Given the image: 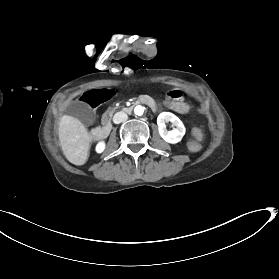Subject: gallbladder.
<instances>
[{"instance_id": "bac80fb5", "label": "gallbladder", "mask_w": 279, "mask_h": 279, "mask_svg": "<svg viewBox=\"0 0 279 279\" xmlns=\"http://www.w3.org/2000/svg\"><path fill=\"white\" fill-rule=\"evenodd\" d=\"M61 114L63 116H70L71 114H74L79 123H84L88 126L95 124L97 120L95 113L91 111L87 112V110L83 108L81 102L77 100L70 102L69 106L63 107L61 109Z\"/></svg>"}]
</instances>
